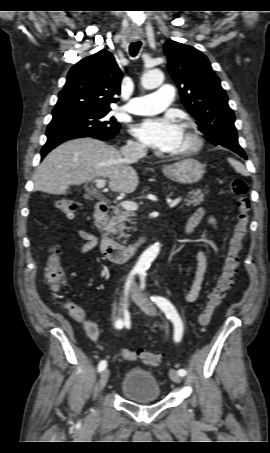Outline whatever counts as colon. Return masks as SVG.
Wrapping results in <instances>:
<instances>
[{"mask_svg":"<svg viewBox=\"0 0 270 453\" xmlns=\"http://www.w3.org/2000/svg\"><path fill=\"white\" fill-rule=\"evenodd\" d=\"M230 189L237 198V221L232 237L229 240L222 270L216 284L208 292L204 308L198 318L202 329L210 324L215 309L222 303L227 291L233 285V280L239 267L242 243L247 235L250 223L251 200L248 195L249 188L247 183L241 178H235L230 182ZM56 208L67 218L72 219L77 216L79 205L74 200L62 199L56 202ZM45 281L52 289H58L64 282L60 247L57 244L50 249L45 267ZM64 308L74 318L82 315L79 306L73 303L64 304ZM137 355L145 364L158 366L161 363L160 356L156 353L140 349L137 351Z\"/></svg>","mask_w":270,"mask_h":453,"instance_id":"colon-1","label":"colon"}]
</instances>
